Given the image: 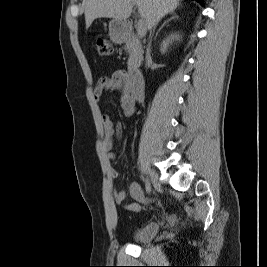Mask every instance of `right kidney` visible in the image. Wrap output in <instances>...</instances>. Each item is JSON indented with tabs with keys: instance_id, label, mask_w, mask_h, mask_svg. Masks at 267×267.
<instances>
[{
	"instance_id": "obj_1",
	"label": "right kidney",
	"mask_w": 267,
	"mask_h": 267,
	"mask_svg": "<svg viewBox=\"0 0 267 267\" xmlns=\"http://www.w3.org/2000/svg\"><path fill=\"white\" fill-rule=\"evenodd\" d=\"M175 39H177V40L179 39V34L172 33L162 41V43L160 45V51L162 54H165L167 52L169 44H172V41H174Z\"/></svg>"
}]
</instances>
